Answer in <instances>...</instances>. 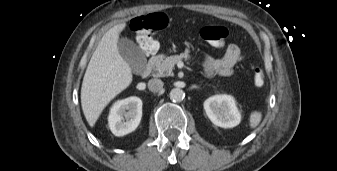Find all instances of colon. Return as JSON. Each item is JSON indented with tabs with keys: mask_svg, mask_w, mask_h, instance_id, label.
<instances>
[{
	"mask_svg": "<svg viewBox=\"0 0 337 171\" xmlns=\"http://www.w3.org/2000/svg\"><path fill=\"white\" fill-rule=\"evenodd\" d=\"M167 26V18L162 13L138 16L131 22V31L142 53L147 57L154 56L158 46L153 34ZM200 37L212 45H222L227 37L228 30L223 26L203 25L200 28ZM253 84L260 88L265 84V75L260 67L253 69Z\"/></svg>",
	"mask_w": 337,
	"mask_h": 171,
	"instance_id": "colon-1",
	"label": "colon"
}]
</instances>
